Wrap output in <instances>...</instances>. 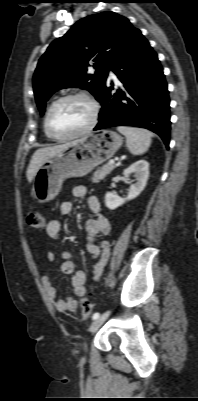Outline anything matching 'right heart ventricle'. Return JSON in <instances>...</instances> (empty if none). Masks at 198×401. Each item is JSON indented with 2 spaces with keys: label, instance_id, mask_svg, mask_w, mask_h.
<instances>
[{
  "label": "right heart ventricle",
  "instance_id": "obj_1",
  "mask_svg": "<svg viewBox=\"0 0 198 401\" xmlns=\"http://www.w3.org/2000/svg\"><path fill=\"white\" fill-rule=\"evenodd\" d=\"M49 107H50V105H49ZM49 107H48V109H49ZM48 109H47V111H48ZM44 133H45V135H46L48 138H50V137L48 136L47 132H46V129H45V120H44Z\"/></svg>",
  "mask_w": 198,
  "mask_h": 401
}]
</instances>
